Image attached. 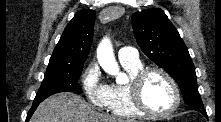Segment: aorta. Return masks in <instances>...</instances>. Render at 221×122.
Listing matches in <instances>:
<instances>
[{
  "label": "aorta",
  "mask_w": 221,
  "mask_h": 122,
  "mask_svg": "<svg viewBox=\"0 0 221 122\" xmlns=\"http://www.w3.org/2000/svg\"><path fill=\"white\" fill-rule=\"evenodd\" d=\"M97 58L100 66L110 75L116 77L117 83L124 82V75L119 71L115 60L112 45L108 39H104L97 50Z\"/></svg>",
  "instance_id": "762f6f07"
}]
</instances>
